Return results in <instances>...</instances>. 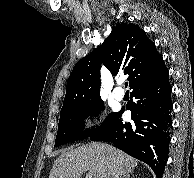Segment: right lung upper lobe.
I'll return each mask as SVG.
<instances>
[{"label":"right lung upper lobe","mask_w":194,"mask_h":178,"mask_svg":"<svg viewBox=\"0 0 194 178\" xmlns=\"http://www.w3.org/2000/svg\"><path fill=\"white\" fill-rule=\"evenodd\" d=\"M113 76L128 75L130 88L156 78L166 69L162 56L145 31L134 24L119 23L102 45L79 60L67 81L61 113L81 108L100 98V67Z\"/></svg>","instance_id":"cb5924a9"}]
</instances>
